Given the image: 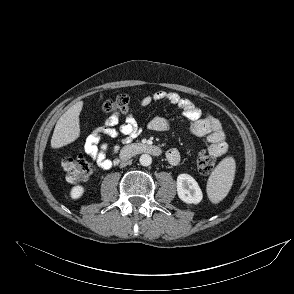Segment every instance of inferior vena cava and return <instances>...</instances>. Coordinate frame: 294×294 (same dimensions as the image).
<instances>
[{
    "instance_id": "602c4592",
    "label": "inferior vena cava",
    "mask_w": 294,
    "mask_h": 294,
    "mask_svg": "<svg viewBox=\"0 0 294 294\" xmlns=\"http://www.w3.org/2000/svg\"><path fill=\"white\" fill-rule=\"evenodd\" d=\"M128 163L129 161H123L121 162L120 167H125Z\"/></svg>"
}]
</instances>
